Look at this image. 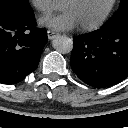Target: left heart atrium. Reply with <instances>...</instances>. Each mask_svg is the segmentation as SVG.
I'll list each match as a JSON object with an SVG mask.
<instances>
[{
	"label": "left heart atrium",
	"instance_id": "obj_1",
	"mask_svg": "<svg viewBox=\"0 0 128 128\" xmlns=\"http://www.w3.org/2000/svg\"><path fill=\"white\" fill-rule=\"evenodd\" d=\"M39 24L57 31H67L78 26L73 14L67 10L57 14L42 16L39 18Z\"/></svg>",
	"mask_w": 128,
	"mask_h": 128
}]
</instances>
